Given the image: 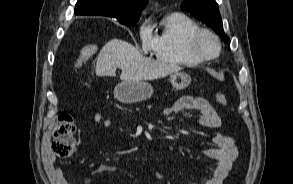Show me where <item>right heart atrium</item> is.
<instances>
[{"label": "right heart atrium", "mask_w": 293, "mask_h": 184, "mask_svg": "<svg viewBox=\"0 0 293 184\" xmlns=\"http://www.w3.org/2000/svg\"><path fill=\"white\" fill-rule=\"evenodd\" d=\"M138 35L141 48L144 52H151L154 47L155 38L152 32V25L148 19H144L138 26Z\"/></svg>", "instance_id": "right-heart-atrium-1"}]
</instances>
